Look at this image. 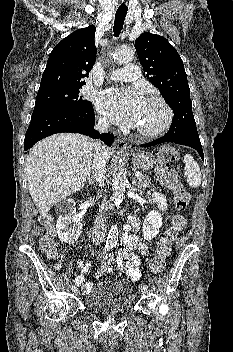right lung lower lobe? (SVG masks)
Instances as JSON below:
<instances>
[{"instance_id":"obj_1","label":"right lung lower lobe","mask_w":233,"mask_h":352,"mask_svg":"<svg viewBox=\"0 0 233 352\" xmlns=\"http://www.w3.org/2000/svg\"><path fill=\"white\" fill-rule=\"evenodd\" d=\"M94 124L93 107L34 113L25 135L24 150L27 151L47 136L61 132L81 133L95 139L100 138L107 146H111L114 136L109 133L101 136L98 131L94 130Z\"/></svg>"}]
</instances>
